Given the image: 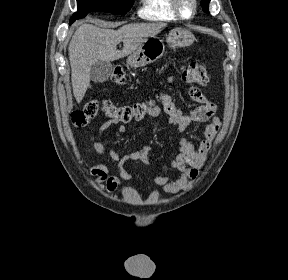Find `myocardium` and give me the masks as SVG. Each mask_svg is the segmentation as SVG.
Listing matches in <instances>:
<instances>
[{"label":"myocardium","instance_id":"f54148a6","mask_svg":"<svg viewBox=\"0 0 288 280\" xmlns=\"http://www.w3.org/2000/svg\"><path fill=\"white\" fill-rule=\"evenodd\" d=\"M182 2L183 0H171L174 13L179 19H182V20L192 19L197 13V8H198L197 0H188V2H190L191 4V12L188 15H185L182 11V8H181Z\"/></svg>","mask_w":288,"mask_h":280}]
</instances>
